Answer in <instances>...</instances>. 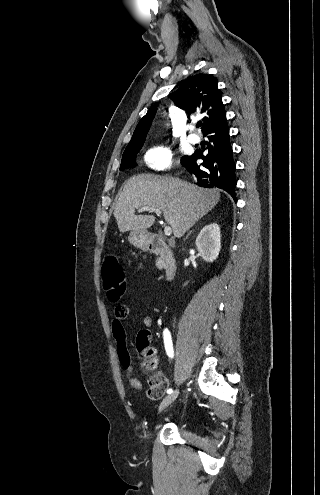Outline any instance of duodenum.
Instances as JSON below:
<instances>
[{"label":"duodenum","instance_id":"410a0bca","mask_svg":"<svg viewBox=\"0 0 320 495\" xmlns=\"http://www.w3.org/2000/svg\"><path fill=\"white\" fill-rule=\"evenodd\" d=\"M144 245L148 251L159 255L166 279H172L177 267L174 255L166 242L160 236L150 234L146 236Z\"/></svg>","mask_w":320,"mask_h":495}]
</instances>
